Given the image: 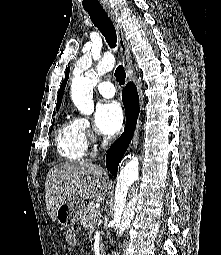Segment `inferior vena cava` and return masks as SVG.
<instances>
[{
	"instance_id": "1",
	"label": "inferior vena cava",
	"mask_w": 221,
	"mask_h": 255,
	"mask_svg": "<svg viewBox=\"0 0 221 255\" xmlns=\"http://www.w3.org/2000/svg\"><path fill=\"white\" fill-rule=\"evenodd\" d=\"M116 253H117V252L115 251V252L113 253V255H116Z\"/></svg>"
}]
</instances>
